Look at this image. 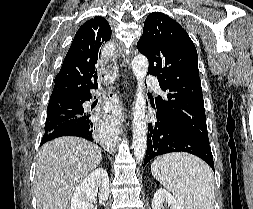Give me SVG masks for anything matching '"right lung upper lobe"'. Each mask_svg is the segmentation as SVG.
Returning <instances> with one entry per match:
<instances>
[{"label":"right lung upper lobe","instance_id":"obj_1","mask_svg":"<svg viewBox=\"0 0 253 209\" xmlns=\"http://www.w3.org/2000/svg\"><path fill=\"white\" fill-rule=\"evenodd\" d=\"M111 38V28L103 17H94L77 31L64 59L48 106L65 105L90 94L97 87L100 47Z\"/></svg>","mask_w":253,"mask_h":209}]
</instances>
